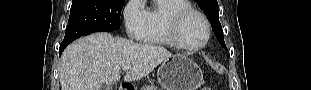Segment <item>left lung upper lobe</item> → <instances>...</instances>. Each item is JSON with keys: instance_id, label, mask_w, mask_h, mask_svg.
I'll return each mask as SVG.
<instances>
[{"instance_id": "5c2ea615", "label": "left lung upper lobe", "mask_w": 311, "mask_h": 90, "mask_svg": "<svg viewBox=\"0 0 311 90\" xmlns=\"http://www.w3.org/2000/svg\"><path fill=\"white\" fill-rule=\"evenodd\" d=\"M195 1L199 4V6L204 11L206 16L209 18L212 30L214 31L219 43L227 50L224 42L222 26L219 21V6L217 0H195Z\"/></svg>"}]
</instances>
